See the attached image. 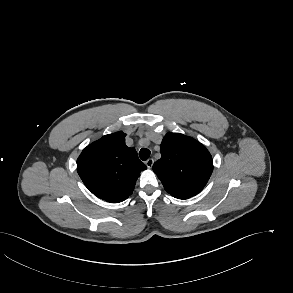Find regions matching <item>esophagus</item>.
<instances>
[{
  "label": "esophagus",
  "instance_id": "34e87169",
  "mask_svg": "<svg viewBox=\"0 0 293 293\" xmlns=\"http://www.w3.org/2000/svg\"><path fill=\"white\" fill-rule=\"evenodd\" d=\"M153 164H154V160H153L152 158H149V159L146 161V166H147L148 168H152Z\"/></svg>",
  "mask_w": 293,
  "mask_h": 293
}]
</instances>
